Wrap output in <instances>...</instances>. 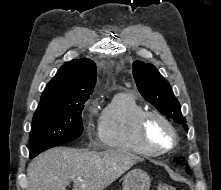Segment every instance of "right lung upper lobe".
<instances>
[{"mask_svg":"<svg viewBox=\"0 0 221 190\" xmlns=\"http://www.w3.org/2000/svg\"><path fill=\"white\" fill-rule=\"evenodd\" d=\"M96 83V65L88 59L63 65L42 93L41 106H65L87 101Z\"/></svg>","mask_w":221,"mask_h":190,"instance_id":"1","label":"right lung upper lobe"}]
</instances>
